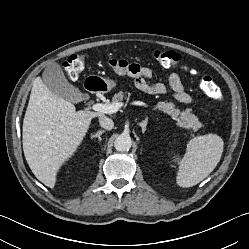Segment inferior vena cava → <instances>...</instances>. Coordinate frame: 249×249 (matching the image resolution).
<instances>
[{"instance_id":"obj_1","label":"inferior vena cava","mask_w":249,"mask_h":249,"mask_svg":"<svg viewBox=\"0 0 249 249\" xmlns=\"http://www.w3.org/2000/svg\"><path fill=\"white\" fill-rule=\"evenodd\" d=\"M99 123L100 126L106 130H111L114 127L112 119L106 117L105 115L99 117Z\"/></svg>"}]
</instances>
